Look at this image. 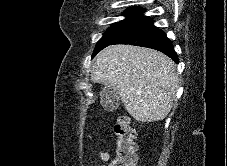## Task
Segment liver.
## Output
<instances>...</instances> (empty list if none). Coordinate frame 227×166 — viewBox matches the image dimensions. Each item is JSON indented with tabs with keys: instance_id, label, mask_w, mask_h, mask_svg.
Instances as JSON below:
<instances>
[{
	"instance_id": "6515ba94",
	"label": "liver",
	"mask_w": 227,
	"mask_h": 166,
	"mask_svg": "<svg viewBox=\"0 0 227 166\" xmlns=\"http://www.w3.org/2000/svg\"><path fill=\"white\" fill-rule=\"evenodd\" d=\"M91 79L111 86L137 121L163 120L171 111L179 79L175 63L143 47L113 45L95 58Z\"/></svg>"
}]
</instances>
